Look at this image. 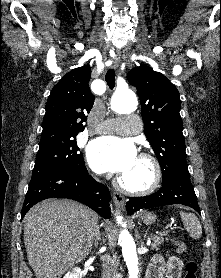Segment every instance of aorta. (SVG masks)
Instances as JSON below:
<instances>
[{"label":"aorta","instance_id":"1","mask_svg":"<svg viewBox=\"0 0 221 278\" xmlns=\"http://www.w3.org/2000/svg\"><path fill=\"white\" fill-rule=\"evenodd\" d=\"M136 107L137 98L131 90H127L122 93H115L111 99V108L118 114L132 112L136 109ZM122 219L123 218L121 216H117V223L123 224ZM118 240L120 241L122 255L128 268V278H138V256L134 239L128 231L122 230L119 234Z\"/></svg>","mask_w":221,"mask_h":278}]
</instances>
